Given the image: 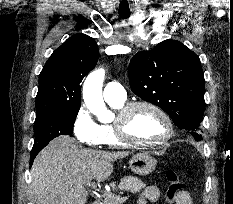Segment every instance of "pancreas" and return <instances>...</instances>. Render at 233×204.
<instances>
[{"label": "pancreas", "mask_w": 233, "mask_h": 204, "mask_svg": "<svg viewBox=\"0 0 233 204\" xmlns=\"http://www.w3.org/2000/svg\"><path fill=\"white\" fill-rule=\"evenodd\" d=\"M146 186L140 179L133 176H126L121 179L118 188L120 190L128 191L131 193L140 192ZM113 189H116L115 185H113ZM101 204H121L118 200V196L111 193V196H106Z\"/></svg>", "instance_id": "pancreas-1"}]
</instances>
